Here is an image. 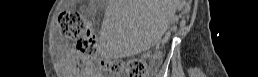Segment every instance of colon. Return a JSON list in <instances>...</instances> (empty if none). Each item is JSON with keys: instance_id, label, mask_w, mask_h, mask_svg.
<instances>
[{"instance_id": "1", "label": "colon", "mask_w": 258, "mask_h": 77, "mask_svg": "<svg viewBox=\"0 0 258 77\" xmlns=\"http://www.w3.org/2000/svg\"><path fill=\"white\" fill-rule=\"evenodd\" d=\"M60 28L64 37L76 41V51L84 56L96 58L97 39L90 24L85 22L77 12H66L60 18ZM101 67L119 72L126 66L130 77H146L154 68V64L141 58H131L124 64L120 60H100Z\"/></svg>"}]
</instances>
